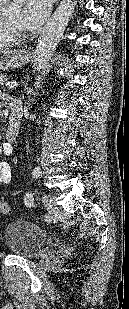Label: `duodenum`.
I'll use <instances>...</instances> for the list:
<instances>
[{
  "instance_id": "obj_1",
  "label": "duodenum",
  "mask_w": 129,
  "mask_h": 309,
  "mask_svg": "<svg viewBox=\"0 0 129 309\" xmlns=\"http://www.w3.org/2000/svg\"><path fill=\"white\" fill-rule=\"evenodd\" d=\"M19 128V115L17 113H11L9 127L7 131V138L9 141H13Z\"/></svg>"
}]
</instances>
